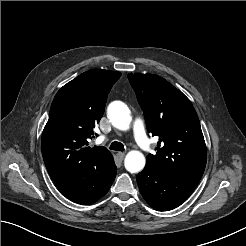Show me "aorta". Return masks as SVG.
<instances>
[{"label": "aorta", "instance_id": "762f6f07", "mask_svg": "<svg viewBox=\"0 0 246 246\" xmlns=\"http://www.w3.org/2000/svg\"><path fill=\"white\" fill-rule=\"evenodd\" d=\"M107 114L110 122L119 130H127L132 121L130 110L120 101L112 102L107 109ZM146 163V159L140 151L132 150L127 153L124 165L130 173L140 172Z\"/></svg>", "mask_w": 246, "mask_h": 246}]
</instances>
